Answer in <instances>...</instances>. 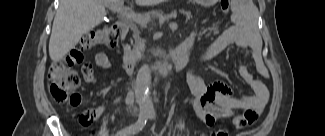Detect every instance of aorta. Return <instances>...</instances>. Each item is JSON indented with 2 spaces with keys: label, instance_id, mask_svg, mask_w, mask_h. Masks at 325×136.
Instances as JSON below:
<instances>
[{
  "label": "aorta",
  "instance_id": "aorta-1",
  "mask_svg": "<svg viewBox=\"0 0 325 136\" xmlns=\"http://www.w3.org/2000/svg\"><path fill=\"white\" fill-rule=\"evenodd\" d=\"M150 84L151 69L147 64H144L138 71L136 78V87L140 110L146 114H151L154 112L152 100L149 95Z\"/></svg>",
  "mask_w": 325,
  "mask_h": 136
}]
</instances>
